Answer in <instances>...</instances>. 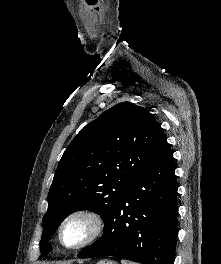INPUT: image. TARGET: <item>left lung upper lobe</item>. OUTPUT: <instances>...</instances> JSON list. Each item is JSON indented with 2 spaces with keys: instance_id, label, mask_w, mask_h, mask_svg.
<instances>
[{
  "instance_id": "5c2ea615",
  "label": "left lung upper lobe",
  "mask_w": 221,
  "mask_h": 264,
  "mask_svg": "<svg viewBox=\"0 0 221 264\" xmlns=\"http://www.w3.org/2000/svg\"><path fill=\"white\" fill-rule=\"evenodd\" d=\"M166 144L152 114L134 103H119L88 123L67 147L55 172L42 220V255L52 250L51 235L69 214L91 210L105 221Z\"/></svg>"
}]
</instances>
